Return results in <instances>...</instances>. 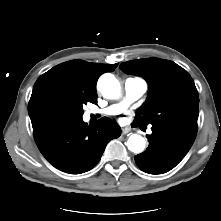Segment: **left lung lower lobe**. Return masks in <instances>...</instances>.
I'll return each mask as SVG.
<instances>
[{
  "instance_id": "0a47b994",
  "label": "left lung lower lobe",
  "mask_w": 221,
  "mask_h": 221,
  "mask_svg": "<svg viewBox=\"0 0 221 221\" xmlns=\"http://www.w3.org/2000/svg\"><path fill=\"white\" fill-rule=\"evenodd\" d=\"M151 130L152 134L147 135L149 147L135 156L137 166L149 174H163L173 169L187 154L197 133V130L167 123L152 124Z\"/></svg>"
}]
</instances>
